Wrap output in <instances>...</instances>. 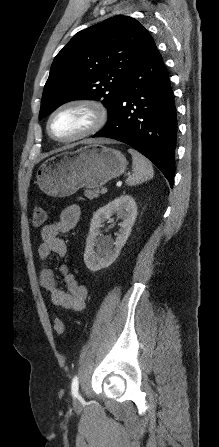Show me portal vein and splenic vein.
I'll list each match as a JSON object with an SVG mask.
<instances>
[{
  "label": "portal vein and splenic vein",
  "mask_w": 219,
  "mask_h": 447,
  "mask_svg": "<svg viewBox=\"0 0 219 447\" xmlns=\"http://www.w3.org/2000/svg\"><path fill=\"white\" fill-rule=\"evenodd\" d=\"M101 192L102 193H106L107 192V188L106 187H102Z\"/></svg>",
  "instance_id": "18ae733b"
}]
</instances>
